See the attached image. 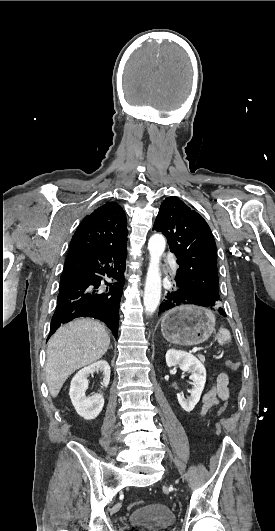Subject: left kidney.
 Here are the masks:
<instances>
[{"label":"left kidney","mask_w":275,"mask_h":531,"mask_svg":"<svg viewBox=\"0 0 275 531\" xmlns=\"http://www.w3.org/2000/svg\"><path fill=\"white\" fill-rule=\"evenodd\" d=\"M166 363L168 367L179 365L181 371H188V373H191L189 379L193 381L194 385L191 391H189L191 397L185 401L181 395H177L179 405H181L184 411L190 413V411H193L198 401H200L201 393L206 383V369L201 361H198L194 355H190V353H186V351H176V349H169V351H167Z\"/></svg>","instance_id":"left-kidney-1"}]
</instances>
